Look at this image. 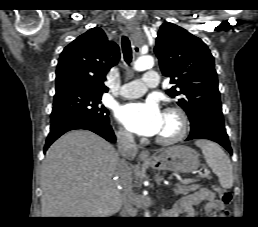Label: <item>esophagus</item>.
Instances as JSON below:
<instances>
[{
  "label": "esophagus",
  "instance_id": "34e87169",
  "mask_svg": "<svg viewBox=\"0 0 258 227\" xmlns=\"http://www.w3.org/2000/svg\"><path fill=\"white\" fill-rule=\"evenodd\" d=\"M127 32L130 34L131 38L133 39L134 43H135V51L138 52L139 48L136 45L137 43V37L138 35L136 34V28L131 26V25H127L126 26ZM139 159L140 161H144V162H148L151 160L150 158V153L148 150H142L139 154Z\"/></svg>",
  "mask_w": 258,
  "mask_h": 227
}]
</instances>
